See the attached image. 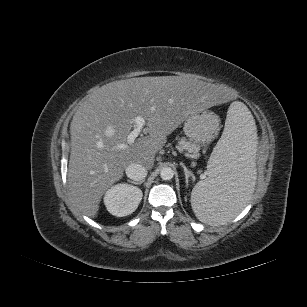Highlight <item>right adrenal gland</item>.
Returning a JSON list of instances; mask_svg holds the SVG:
<instances>
[{
  "mask_svg": "<svg viewBox=\"0 0 307 307\" xmlns=\"http://www.w3.org/2000/svg\"><path fill=\"white\" fill-rule=\"evenodd\" d=\"M129 183H132V184H135V185H141L143 183V180L142 181H139V182H135V181H131V180H128Z\"/></svg>",
  "mask_w": 307,
  "mask_h": 307,
  "instance_id": "1",
  "label": "right adrenal gland"
}]
</instances>
